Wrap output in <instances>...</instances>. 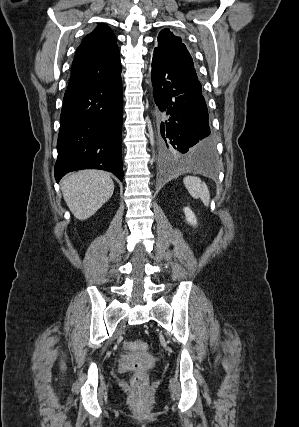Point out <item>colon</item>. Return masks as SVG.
<instances>
[{
    "label": "colon",
    "mask_w": 299,
    "mask_h": 427,
    "mask_svg": "<svg viewBox=\"0 0 299 427\" xmlns=\"http://www.w3.org/2000/svg\"><path fill=\"white\" fill-rule=\"evenodd\" d=\"M124 349L127 352L144 351L147 349V345L140 341H127L124 343ZM132 386L137 392H143L148 386V373L144 369L138 370L132 377Z\"/></svg>",
    "instance_id": "colon-1"
}]
</instances>
